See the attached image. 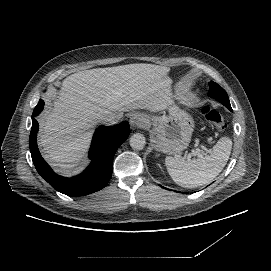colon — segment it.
<instances>
[{
	"instance_id": "obj_1",
	"label": "colon",
	"mask_w": 271,
	"mask_h": 271,
	"mask_svg": "<svg viewBox=\"0 0 271 271\" xmlns=\"http://www.w3.org/2000/svg\"><path fill=\"white\" fill-rule=\"evenodd\" d=\"M201 114L204 119L213 124L218 131H223L226 128V124L221 114L211 106L202 107Z\"/></svg>"
}]
</instances>
